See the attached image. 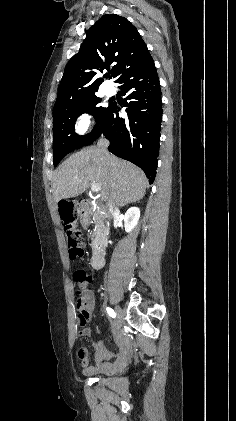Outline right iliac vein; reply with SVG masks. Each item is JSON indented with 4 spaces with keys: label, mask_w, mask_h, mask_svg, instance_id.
Segmentation results:
<instances>
[{
    "label": "right iliac vein",
    "mask_w": 236,
    "mask_h": 421,
    "mask_svg": "<svg viewBox=\"0 0 236 421\" xmlns=\"http://www.w3.org/2000/svg\"><path fill=\"white\" fill-rule=\"evenodd\" d=\"M115 311H116V321L114 322L113 326H114L115 333H118L122 326L123 313L119 306L116 307Z\"/></svg>",
    "instance_id": "right-iliac-vein-1"
}]
</instances>
